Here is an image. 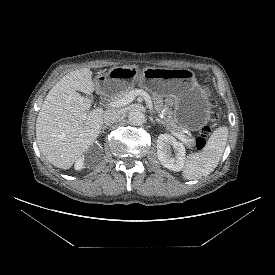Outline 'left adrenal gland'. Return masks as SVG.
Wrapping results in <instances>:
<instances>
[{"label":"left adrenal gland","instance_id":"1","mask_svg":"<svg viewBox=\"0 0 275 275\" xmlns=\"http://www.w3.org/2000/svg\"><path fill=\"white\" fill-rule=\"evenodd\" d=\"M150 118V121L153 123V124H155L156 122H155V120L153 119V117H149Z\"/></svg>","mask_w":275,"mask_h":275}]
</instances>
